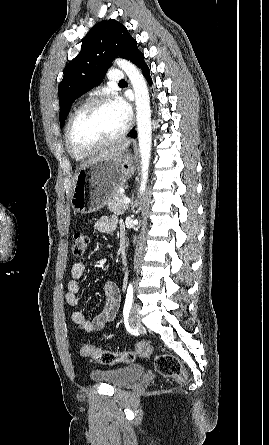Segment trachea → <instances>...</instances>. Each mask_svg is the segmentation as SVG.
Returning a JSON list of instances; mask_svg holds the SVG:
<instances>
[{"label": "trachea", "mask_w": 269, "mask_h": 445, "mask_svg": "<svg viewBox=\"0 0 269 445\" xmlns=\"http://www.w3.org/2000/svg\"><path fill=\"white\" fill-rule=\"evenodd\" d=\"M126 81L125 80H121L119 83H125Z\"/></svg>", "instance_id": "trachea-1"}]
</instances>
